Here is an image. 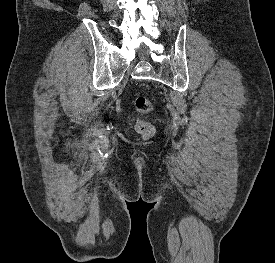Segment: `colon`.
Instances as JSON below:
<instances>
[{
	"label": "colon",
	"mask_w": 275,
	"mask_h": 263,
	"mask_svg": "<svg viewBox=\"0 0 275 263\" xmlns=\"http://www.w3.org/2000/svg\"><path fill=\"white\" fill-rule=\"evenodd\" d=\"M134 106L138 114L134 124L135 131L143 138H150L154 134V126L144 116L152 111V102L144 96H139L135 99Z\"/></svg>",
	"instance_id": "obj_1"
}]
</instances>
